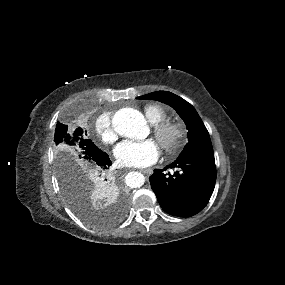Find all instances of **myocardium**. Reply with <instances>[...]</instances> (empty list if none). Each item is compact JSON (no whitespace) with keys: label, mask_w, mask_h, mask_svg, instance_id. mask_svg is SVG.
Here are the masks:
<instances>
[{"label":"myocardium","mask_w":285,"mask_h":285,"mask_svg":"<svg viewBox=\"0 0 285 285\" xmlns=\"http://www.w3.org/2000/svg\"><path fill=\"white\" fill-rule=\"evenodd\" d=\"M153 134L168 156L177 155L185 144L187 129L179 120L162 121L153 125Z\"/></svg>","instance_id":"obj_1"}]
</instances>
